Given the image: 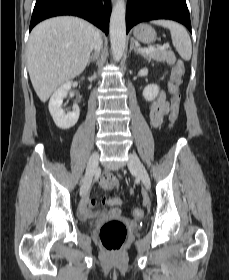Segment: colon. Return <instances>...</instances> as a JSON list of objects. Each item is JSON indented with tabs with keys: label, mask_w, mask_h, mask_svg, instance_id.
Here are the masks:
<instances>
[{
	"label": "colon",
	"mask_w": 229,
	"mask_h": 280,
	"mask_svg": "<svg viewBox=\"0 0 229 280\" xmlns=\"http://www.w3.org/2000/svg\"><path fill=\"white\" fill-rule=\"evenodd\" d=\"M184 74L183 67L180 64H177L173 68V74L170 81V91H171V111L169 114V123L170 126H174L178 120L181 97L178 91V85L180 83L181 77ZM119 183V178L107 174L103 177L101 185L106 188H112ZM117 205L121 204V200L118 199L115 201ZM134 216L142 217L144 215L143 211L139 208H136L133 212ZM127 230L123 222L119 220H111L102 225L99 230V238L103 246L111 252H117L121 249L123 243L126 240Z\"/></svg>",
	"instance_id": "5ec220e1"
}]
</instances>
